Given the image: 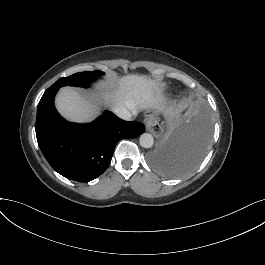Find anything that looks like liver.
<instances>
[{
    "label": "liver",
    "mask_w": 265,
    "mask_h": 265,
    "mask_svg": "<svg viewBox=\"0 0 265 265\" xmlns=\"http://www.w3.org/2000/svg\"><path fill=\"white\" fill-rule=\"evenodd\" d=\"M104 93L112 109L125 107L132 114L139 108L155 106L159 99L156 83L142 77H127L118 91L105 90ZM56 104L60 113L71 121L83 122L95 113L90 104L71 88L61 90Z\"/></svg>",
    "instance_id": "obj_1"
}]
</instances>
